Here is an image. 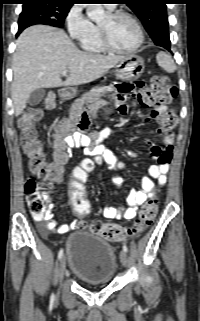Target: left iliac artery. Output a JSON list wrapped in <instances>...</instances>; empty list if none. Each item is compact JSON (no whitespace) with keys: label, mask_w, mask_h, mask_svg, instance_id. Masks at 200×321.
<instances>
[{"label":"left iliac artery","mask_w":200,"mask_h":321,"mask_svg":"<svg viewBox=\"0 0 200 321\" xmlns=\"http://www.w3.org/2000/svg\"><path fill=\"white\" fill-rule=\"evenodd\" d=\"M123 250H124L125 252H127V251H128V248H127V246H126V245H123Z\"/></svg>","instance_id":"left-iliac-artery-1"}]
</instances>
